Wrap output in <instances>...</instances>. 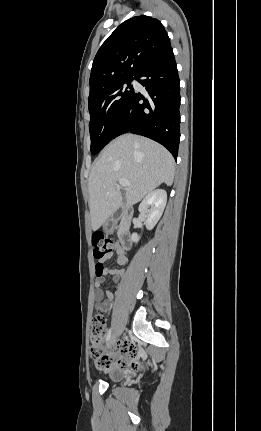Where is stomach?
<instances>
[{"instance_id":"obj_1","label":"stomach","mask_w":261,"mask_h":431,"mask_svg":"<svg viewBox=\"0 0 261 431\" xmlns=\"http://www.w3.org/2000/svg\"><path fill=\"white\" fill-rule=\"evenodd\" d=\"M103 230L106 232V233H112L113 232V230H114V224L111 222V221H107L106 223H104V225H103Z\"/></svg>"}]
</instances>
